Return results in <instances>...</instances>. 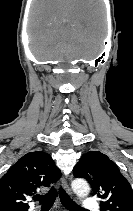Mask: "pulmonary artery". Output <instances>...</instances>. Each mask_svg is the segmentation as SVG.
<instances>
[{
  "label": "pulmonary artery",
  "mask_w": 133,
  "mask_h": 211,
  "mask_svg": "<svg viewBox=\"0 0 133 211\" xmlns=\"http://www.w3.org/2000/svg\"><path fill=\"white\" fill-rule=\"evenodd\" d=\"M83 207L87 210H94V211H97L98 210V203L95 199L93 198H86L84 199V202H83Z\"/></svg>",
  "instance_id": "e3ab8cb5"
}]
</instances>
